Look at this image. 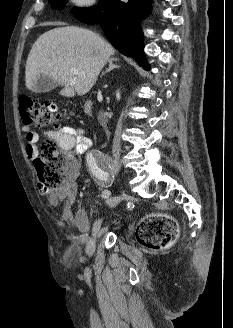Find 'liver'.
<instances>
[{
	"label": "liver",
	"instance_id": "liver-1",
	"mask_svg": "<svg viewBox=\"0 0 233 328\" xmlns=\"http://www.w3.org/2000/svg\"><path fill=\"white\" fill-rule=\"evenodd\" d=\"M114 53L108 42L88 29L54 28L42 34L30 50L25 66L26 87L32 90L37 76L44 74L64 86L62 96L84 95ZM72 68L83 73L74 74Z\"/></svg>",
	"mask_w": 233,
	"mask_h": 328
}]
</instances>
